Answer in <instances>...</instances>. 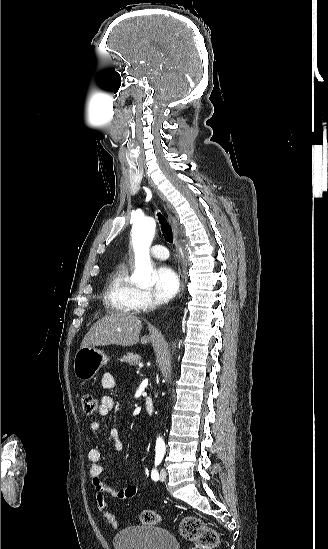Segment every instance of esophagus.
<instances>
[{
	"label": "esophagus",
	"mask_w": 328,
	"mask_h": 549,
	"mask_svg": "<svg viewBox=\"0 0 328 549\" xmlns=\"http://www.w3.org/2000/svg\"><path fill=\"white\" fill-rule=\"evenodd\" d=\"M168 219H169V221L172 225V228H173L174 243H175V246H176V250L178 251L179 250V248H178V230H179L178 222H177L176 218L173 217L171 214H168ZM178 278H179L178 298H181L182 295H183L185 283H184V277H183V274L181 272L180 265H179V268H178Z\"/></svg>",
	"instance_id": "obj_1"
}]
</instances>
